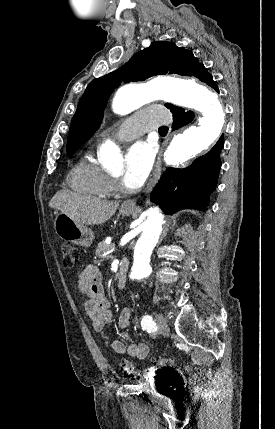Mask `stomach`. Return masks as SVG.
<instances>
[{"mask_svg":"<svg viewBox=\"0 0 275 429\" xmlns=\"http://www.w3.org/2000/svg\"><path fill=\"white\" fill-rule=\"evenodd\" d=\"M134 211L135 208H126L122 206L120 214L128 216ZM54 229L60 238L83 247H90L94 239V233L90 228L85 225L77 224L67 214L62 212L55 216Z\"/></svg>","mask_w":275,"mask_h":429,"instance_id":"1","label":"stomach"}]
</instances>
